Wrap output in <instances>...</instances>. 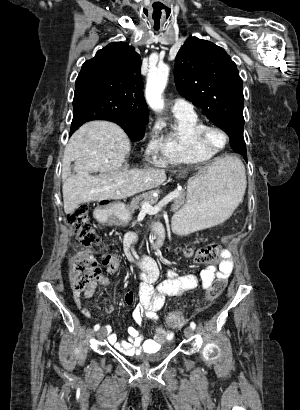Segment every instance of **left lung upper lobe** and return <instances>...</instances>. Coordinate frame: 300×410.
<instances>
[{"label":"left lung upper lobe","mask_w":300,"mask_h":410,"mask_svg":"<svg viewBox=\"0 0 300 410\" xmlns=\"http://www.w3.org/2000/svg\"><path fill=\"white\" fill-rule=\"evenodd\" d=\"M174 77L179 93L228 134L234 151L247 157L243 84L225 50L206 40L188 38L177 53Z\"/></svg>","instance_id":"left-lung-upper-lobe-1"}]
</instances>
